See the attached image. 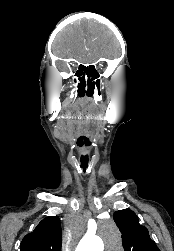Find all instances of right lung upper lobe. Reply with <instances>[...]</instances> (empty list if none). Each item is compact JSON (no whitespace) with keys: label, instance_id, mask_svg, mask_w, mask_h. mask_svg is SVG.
Masks as SVG:
<instances>
[{"label":"right lung upper lobe","instance_id":"obj_1","mask_svg":"<svg viewBox=\"0 0 174 251\" xmlns=\"http://www.w3.org/2000/svg\"><path fill=\"white\" fill-rule=\"evenodd\" d=\"M61 243L60 219L48 216L23 238L20 251H61Z\"/></svg>","mask_w":174,"mask_h":251}]
</instances>
